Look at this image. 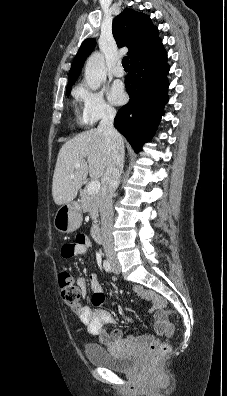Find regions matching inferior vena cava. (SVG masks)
<instances>
[{
  "mask_svg": "<svg viewBox=\"0 0 227 396\" xmlns=\"http://www.w3.org/2000/svg\"><path fill=\"white\" fill-rule=\"evenodd\" d=\"M115 116V109H107L98 126V130L103 132L105 136L109 151L108 163L102 176L100 195L101 233L106 256L114 255L112 198L119 185L124 162V148L121 144V137L113 125Z\"/></svg>",
  "mask_w": 227,
  "mask_h": 396,
  "instance_id": "obj_1",
  "label": "inferior vena cava"
}]
</instances>
